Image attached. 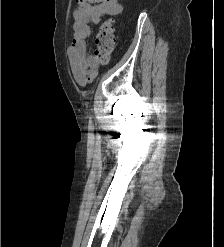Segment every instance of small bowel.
<instances>
[{"label":"small bowel","mask_w":224,"mask_h":247,"mask_svg":"<svg viewBox=\"0 0 224 247\" xmlns=\"http://www.w3.org/2000/svg\"><path fill=\"white\" fill-rule=\"evenodd\" d=\"M78 4L73 12V34L68 55L75 80L84 86L98 73V62L86 44L91 35V25H98L104 15L120 14L123 7L118 0H79Z\"/></svg>","instance_id":"1"}]
</instances>
